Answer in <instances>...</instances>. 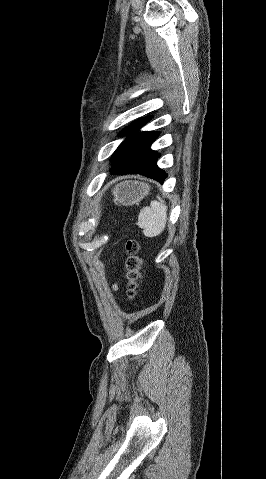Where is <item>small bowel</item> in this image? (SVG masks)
I'll return each mask as SVG.
<instances>
[{"label": "small bowel", "instance_id": "small-bowel-1", "mask_svg": "<svg viewBox=\"0 0 266 479\" xmlns=\"http://www.w3.org/2000/svg\"><path fill=\"white\" fill-rule=\"evenodd\" d=\"M113 290L116 291L117 290V286L116 285H113Z\"/></svg>", "mask_w": 266, "mask_h": 479}]
</instances>
